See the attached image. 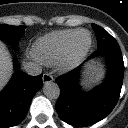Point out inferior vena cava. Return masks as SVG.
Returning a JSON list of instances; mask_svg holds the SVG:
<instances>
[{"mask_svg": "<svg viewBox=\"0 0 128 128\" xmlns=\"http://www.w3.org/2000/svg\"><path fill=\"white\" fill-rule=\"evenodd\" d=\"M24 70L31 76H38L42 73V67L34 62H26L24 64Z\"/></svg>", "mask_w": 128, "mask_h": 128, "instance_id": "inferior-vena-cava-1", "label": "inferior vena cava"}]
</instances>
